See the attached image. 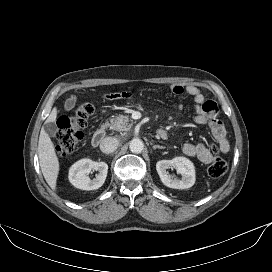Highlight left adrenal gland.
<instances>
[{"instance_id":"1","label":"left adrenal gland","mask_w":272,"mask_h":272,"mask_svg":"<svg viewBox=\"0 0 272 272\" xmlns=\"http://www.w3.org/2000/svg\"><path fill=\"white\" fill-rule=\"evenodd\" d=\"M152 148H153V149H157V148L163 149L164 147H163V146H159V145H154V146H152Z\"/></svg>"}]
</instances>
